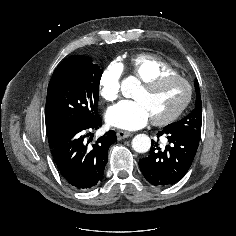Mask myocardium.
Segmentation results:
<instances>
[{"mask_svg":"<svg viewBox=\"0 0 236 236\" xmlns=\"http://www.w3.org/2000/svg\"><path fill=\"white\" fill-rule=\"evenodd\" d=\"M170 80H178V81H181L185 84L186 89H187L186 98L183 101V103L176 110H174L172 113H170L164 117H161V118H151V122L154 125L162 126V125L170 124L173 121H175L185 111V109L188 107V105L192 99L193 91H192L191 84L189 83V81L187 79H185L184 77H182L181 75H178V74L159 75L153 79L143 82L141 87L144 89H147V90H152V89H155L158 86H160L163 83L170 81Z\"/></svg>","mask_w":236,"mask_h":236,"instance_id":"f54148a6","label":"myocardium"}]
</instances>
